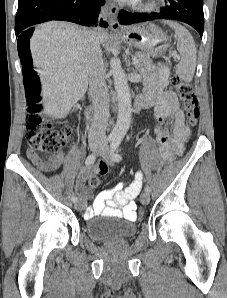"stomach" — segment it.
<instances>
[{
    "instance_id": "0dacf381",
    "label": "stomach",
    "mask_w": 227,
    "mask_h": 298,
    "mask_svg": "<svg viewBox=\"0 0 227 298\" xmlns=\"http://www.w3.org/2000/svg\"><path fill=\"white\" fill-rule=\"evenodd\" d=\"M121 38L126 44L152 57L162 55L170 46L167 34L152 23L132 26L121 35Z\"/></svg>"
}]
</instances>
